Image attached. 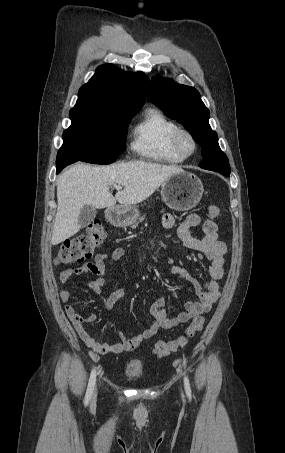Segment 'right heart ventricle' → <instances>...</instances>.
Masks as SVG:
<instances>
[{
  "label": "right heart ventricle",
  "instance_id": "obj_1",
  "mask_svg": "<svg viewBox=\"0 0 285 453\" xmlns=\"http://www.w3.org/2000/svg\"><path fill=\"white\" fill-rule=\"evenodd\" d=\"M178 125L162 111L149 108L134 126L131 148L138 155L164 163H181L185 157L173 146Z\"/></svg>",
  "mask_w": 285,
  "mask_h": 453
}]
</instances>
